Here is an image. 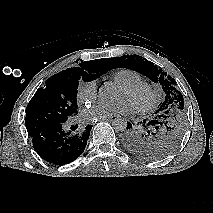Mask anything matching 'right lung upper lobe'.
<instances>
[{"mask_svg":"<svg viewBox=\"0 0 213 213\" xmlns=\"http://www.w3.org/2000/svg\"><path fill=\"white\" fill-rule=\"evenodd\" d=\"M106 60H107L106 58H103V59H97L92 61H86L83 63L93 65L97 68L110 70L109 66L106 63Z\"/></svg>","mask_w":213,"mask_h":213,"instance_id":"right-lung-upper-lobe-1","label":"right lung upper lobe"}]
</instances>
